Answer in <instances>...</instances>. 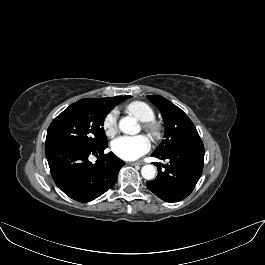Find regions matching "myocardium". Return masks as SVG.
I'll list each match as a JSON object with an SVG mask.
<instances>
[{"label": "myocardium", "instance_id": "obj_1", "mask_svg": "<svg viewBox=\"0 0 265 265\" xmlns=\"http://www.w3.org/2000/svg\"><path fill=\"white\" fill-rule=\"evenodd\" d=\"M144 128L150 135L154 137H157L160 134V126L154 121L146 122L144 124Z\"/></svg>", "mask_w": 265, "mask_h": 265}]
</instances>
